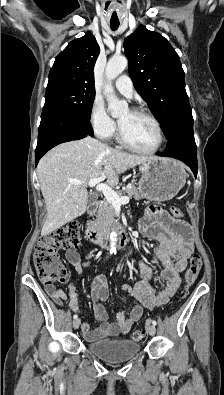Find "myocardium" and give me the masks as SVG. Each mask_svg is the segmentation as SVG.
Here are the masks:
<instances>
[{
  "mask_svg": "<svg viewBox=\"0 0 224 395\" xmlns=\"http://www.w3.org/2000/svg\"><path fill=\"white\" fill-rule=\"evenodd\" d=\"M130 111L133 113H136V114L144 115L154 123V125L157 129V133H158L157 144L155 145V147H153L151 149H141L139 147H136L135 145H133L126 139V137L124 136V134L120 128L119 123H118V127H117V140L119 141V143L122 146H124L125 148H127L133 152H136V153L146 154V155H151V154L157 153L162 148L163 143H164V132H163L162 125H161L160 121L153 113H151L149 110H147L145 108L134 107Z\"/></svg>",
  "mask_w": 224,
  "mask_h": 395,
  "instance_id": "1",
  "label": "myocardium"
}]
</instances>
